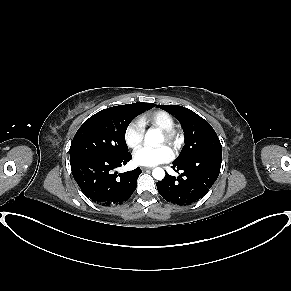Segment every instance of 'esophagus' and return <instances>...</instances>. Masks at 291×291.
Instances as JSON below:
<instances>
[{
  "label": "esophagus",
  "mask_w": 291,
  "mask_h": 291,
  "mask_svg": "<svg viewBox=\"0 0 291 291\" xmlns=\"http://www.w3.org/2000/svg\"><path fill=\"white\" fill-rule=\"evenodd\" d=\"M143 171H150L152 170L153 168L152 167H142L141 168Z\"/></svg>",
  "instance_id": "obj_1"
}]
</instances>
